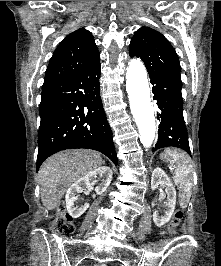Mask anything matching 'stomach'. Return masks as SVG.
<instances>
[{"instance_id":"obj_1","label":"stomach","mask_w":221,"mask_h":266,"mask_svg":"<svg viewBox=\"0 0 221 266\" xmlns=\"http://www.w3.org/2000/svg\"><path fill=\"white\" fill-rule=\"evenodd\" d=\"M161 159L164 161V162H169L171 165H173V160H171V156L169 154H167L166 152H164L162 155H161Z\"/></svg>"}]
</instances>
